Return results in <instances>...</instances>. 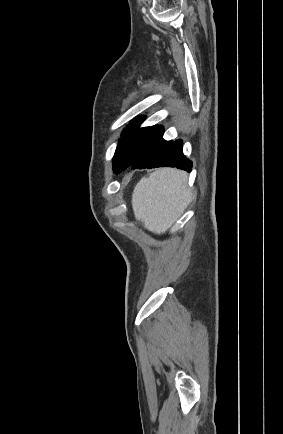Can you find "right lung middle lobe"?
Returning <instances> with one entry per match:
<instances>
[{"mask_svg":"<svg viewBox=\"0 0 283 434\" xmlns=\"http://www.w3.org/2000/svg\"><path fill=\"white\" fill-rule=\"evenodd\" d=\"M145 117H138L122 133L114 158L113 169L120 173L134 164L153 144L162 138L164 129L155 125L139 128Z\"/></svg>","mask_w":283,"mask_h":434,"instance_id":"right-lung-middle-lobe-1","label":"right lung middle lobe"}]
</instances>
